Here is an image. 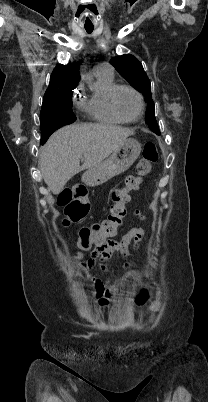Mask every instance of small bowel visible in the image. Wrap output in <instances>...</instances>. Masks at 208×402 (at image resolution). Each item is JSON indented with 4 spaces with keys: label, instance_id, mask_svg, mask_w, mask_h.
I'll return each instance as SVG.
<instances>
[{
    "label": "small bowel",
    "instance_id": "small-bowel-1",
    "mask_svg": "<svg viewBox=\"0 0 208 402\" xmlns=\"http://www.w3.org/2000/svg\"><path fill=\"white\" fill-rule=\"evenodd\" d=\"M137 217L140 220H145V216L137 213L136 214ZM144 232L142 229L140 228H132L131 230H129L124 236L123 238L119 241H112L111 237L107 238L108 243H104L103 241H100L98 243V246L94 248V253L91 254L92 258L97 257V261H93L92 258H87L86 259V263L81 265L82 269H85L87 267V265H92V264H97L98 266H100L102 268V270L105 272L106 274V278L105 281H101L99 279H92L93 282V286H94V295L98 298H104L107 299L111 296V294L113 293V280H114V274H113V270L110 267L109 263L107 262V259H111L113 257V252L114 251H120L122 253V255H124L125 257H130L131 256V252L128 248V244L131 241H134L135 243H139L142 238H143ZM97 254V256H96Z\"/></svg>",
    "mask_w": 208,
    "mask_h": 402
}]
</instances>
